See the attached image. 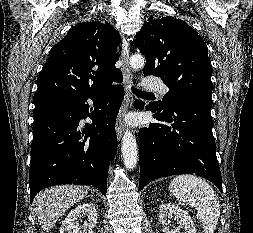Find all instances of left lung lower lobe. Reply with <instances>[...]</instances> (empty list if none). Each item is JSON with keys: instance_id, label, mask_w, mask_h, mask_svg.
Listing matches in <instances>:
<instances>
[{"instance_id": "obj_1", "label": "left lung lower lobe", "mask_w": 253, "mask_h": 233, "mask_svg": "<svg viewBox=\"0 0 253 233\" xmlns=\"http://www.w3.org/2000/svg\"><path fill=\"white\" fill-rule=\"evenodd\" d=\"M136 100L135 108L151 110L153 124L139 131V190L160 177L196 174L213 182L222 192L220 168L212 133V102L192 98L166 109Z\"/></svg>"}]
</instances>
